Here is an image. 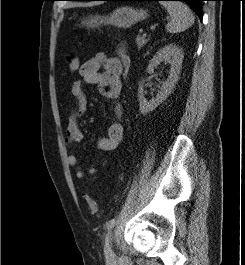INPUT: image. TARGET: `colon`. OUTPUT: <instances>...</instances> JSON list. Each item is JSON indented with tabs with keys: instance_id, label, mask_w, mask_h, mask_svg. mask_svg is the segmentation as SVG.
Here are the masks:
<instances>
[{
	"instance_id": "colon-1",
	"label": "colon",
	"mask_w": 245,
	"mask_h": 265,
	"mask_svg": "<svg viewBox=\"0 0 245 265\" xmlns=\"http://www.w3.org/2000/svg\"><path fill=\"white\" fill-rule=\"evenodd\" d=\"M116 58L119 60L121 66H122V74L125 75L128 68H129V65H130V58L127 54L125 44L122 43L119 46ZM66 61H67V64H68L70 71L74 72V71L78 70L79 59H78L77 55H75V54L67 55ZM85 198H86V201L88 203V207H89L90 211L92 213H98L99 208H98V205L95 202V200L88 194H85Z\"/></svg>"
}]
</instances>
